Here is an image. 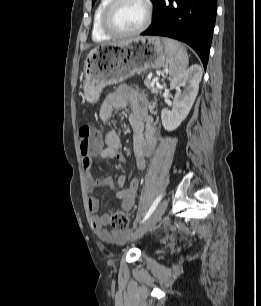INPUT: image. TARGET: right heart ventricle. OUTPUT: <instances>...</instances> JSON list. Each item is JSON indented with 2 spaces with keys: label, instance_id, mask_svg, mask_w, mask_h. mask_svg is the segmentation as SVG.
Instances as JSON below:
<instances>
[{
  "label": "right heart ventricle",
  "instance_id": "right-heart-ventricle-1",
  "mask_svg": "<svg viewBox=\"0 0 261 306\" xmlns=\"http://www.w3.org/2000/svg\"><path fill=\"white\" fill-rule=\"evenodd\" d=\"M109 0H100L93 15L92 21V39L96 42H101L110 39L112 36L107 34L101 26V15L108 4Z\"/></svg>",
  "mask_w": 261,
  "mask_h": 306
}]
</instances>
